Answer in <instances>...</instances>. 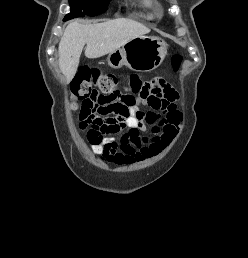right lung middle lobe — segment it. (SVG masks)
<instances>
[{"mask_svg":"<svg viewBox=\"0 0 248 258\" xmlns=\"http://www.w3.org/2000/svg\"><path fill=\"white\" fill-rule=\"evenodd\" d=\"M109 2L110 0H69L71 12L65 16L64 21L74 17L95 16L104 13Z\"/></svg>","mask_w":248,"mask_h":258,"instance_id":"right-lung-middle-lobe-1","label":"right lung middle lobe"}]
</instances>
